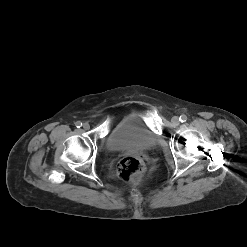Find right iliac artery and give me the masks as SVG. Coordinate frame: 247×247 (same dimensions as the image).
Listing matches in <instances>:
<instances>
[{"label": "right iliac artery", "mask_w": 247, "mask_h": 247, "mask_svg": "<svg viewBox=\"0 0 247 247\" xmlns=\"http://www.w3.org/2000/svg\"><path fill=\"white\" fill-rule=\"evenodd\" d=\"M75 125H76L77 128H80V127L82 126V123H81L80 121H77V122L75 123Z\"/></svg>", "instance_id": "obj_1"}]
</instances>
